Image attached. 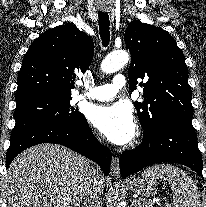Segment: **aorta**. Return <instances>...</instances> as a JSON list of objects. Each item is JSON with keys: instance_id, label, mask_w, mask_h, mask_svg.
<instances>
[{"instance_id": "1", "label": "aorta", "mask_w": 206, "mask_h": 207, "mask_svg": "<svg viewBox=\"0 0 206 207\" xmlns=\"http://www.w3.org/2000/svg\"><path fill=\"white\" fill-rule=\"evenodd\" d=\"M129 61V54L124 50L113 51L101 63L104 73H114L124 67Z\"/></svg>"}]
</instances>
